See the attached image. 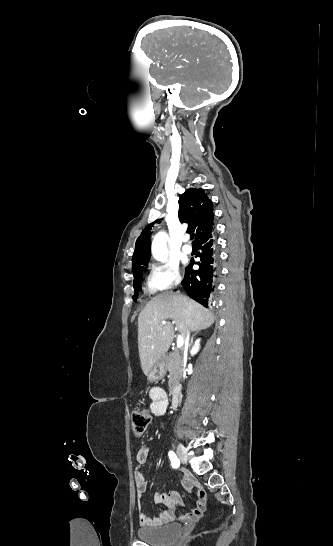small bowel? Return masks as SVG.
Masks as SVG:
<instances>
[{
  "instance_id": "1",
  "label": "small bowel",
  "mask_w": 333,
  "mask_h": 546,
  "mask_svg": "<svg viewBox=\"0 0 333 546\" xmlns=\"http://www.w3.org/2000/svg\"><path fill=\"white\" fill-rule=\"evenodd\" d=\"M150 409L155 416H162L166 413L169 407V398L166 391L162 387H152L149 390ZM149 456V449L146 446H141L137 451L136 459L139 465H143ZM138 510H139V522L143 527H159L171 522L174 518V505L180 501L179 492H171L169 494L157 493L154 496L156 504H166L168 509L163 510L158 517H147L142 509L141 500L144 493L147 490L148 481L140 469H137L134 473ZM182 489L185 491L196 490V502L193 509L183 516L184 519L189 521H196L203 515L206 506V492L195 480V478L185 473L182 479Z\"/></svg>"
}]
</instances>
